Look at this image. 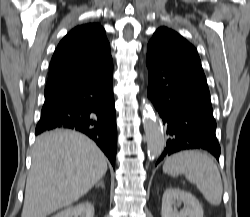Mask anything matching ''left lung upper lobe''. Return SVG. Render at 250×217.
<instances>
[{
	"label": "left lung upper lobe",
	"instance_id": "left-lung-upper-lobe-1",
	"mask_svg": "<svg viewBox=\"0 0 250 217\" xmlns=\"http://www.w3.org/2000/svg\"><path fill=\"white\" fill-rule=\"evenodd\" d=\"M147 47L170 60L189 61L201 66L195 47L177 32L166 27H161L154 33Z\"/></svg>",
	"mask_w": 250,
	"mask_h": 217
}]
</instances>
